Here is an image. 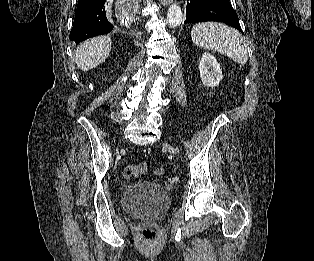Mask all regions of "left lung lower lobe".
Masks as SVG:
<instances>
[{
  "instance_id": "obj_1",
  "label": "left lung lower lobe",
  "mask_w": 314,
  "mask_h": 261,
  "mask_svg": "<svg viewBox=\"0 0 314 261\" xmlns=\"http://www.w3.org/2000/svg\"><path fill=\"white\" fill-rule=\"evenodd\" d=\"M186 13L185 23L219 21L243 33L229 0H188Z\"/></svg>"
}]
</instances>
